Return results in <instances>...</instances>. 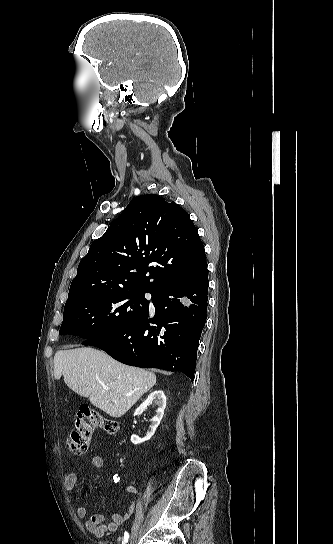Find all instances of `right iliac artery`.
<instances>
[{
	"mask_svg": "<svg viewBox=\"0 0 333 544\" xmlns=\"http://www.w3.org/2000/svg\"><path fill=\"white\" fill-rule=\"evenodd\" d=\"M128 539H129V534H128V532H125L124 533V543L123 544H126L128 542Z\"/></svg>",
	"mask_w": 333,
	"mask_h": 544,
	"instance_id": "right-iliac-artery-1",
	"label": "right iliac artery"
}]
</instances>
